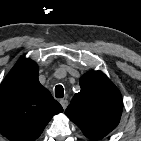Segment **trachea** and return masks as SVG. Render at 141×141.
<instances>
[{"label": "trachea", "mask_w": 141, "mask_h": 141, "mask_svg": "<svg viewBox=\"0 0 141 141\" xmlns=\"http://www.w3.org/2000/svg\"><path fill=\"white\" fill-rule=\"evenodd\" d=\"M55 96L56 98H63L64 96V89L61 85H57L55 87Z\"/></svg>", "instance_id": "1"}]
</instances>
